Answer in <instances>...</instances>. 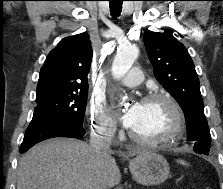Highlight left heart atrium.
Instances as JSON below:
<instances>
[{"label": "left heart atrium", "instance_id": "1", "mask_svg": "<svg viewBox=\"0 0 223 189\" xmlns=\"http://www.w3.org/2000/svg\"><path fill=\"white\" fill-rule=\"evenodd\" d=\"M142 110V103H134L128 110L121 116V122L126 128H132L140 118Z\"/></svg>", "mask_w": 223, "mask_h": 189}]
</instances>
